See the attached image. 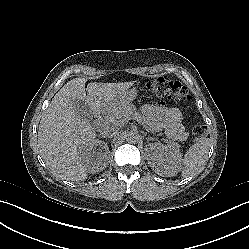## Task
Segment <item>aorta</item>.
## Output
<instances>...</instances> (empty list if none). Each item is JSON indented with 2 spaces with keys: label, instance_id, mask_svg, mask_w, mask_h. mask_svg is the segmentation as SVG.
Returning <instances> with one entry per match:
<instances>
[{
  "label": "aorta",
  "instance_id": "1",
  "mask_svg": "<svg viewBox=\"0 0 249 249\" xmlns=\"http://www.w3.org/2000/svg\"><path fill=\"white\" fill-rule=\"evenodd\" d=\"M126 140L128 142H135L138 140V135L134 132H127L126 134Z\"/></svg>",
  "mask_w": 249,
  "mask_h": 249
}]
</instances>
